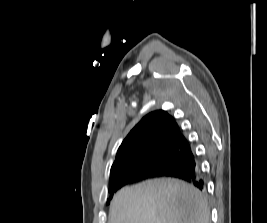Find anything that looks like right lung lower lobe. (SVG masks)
Masks as SVG:
<instances>
[{"mask_svg":"<svg viewBox=\"0 0 267 223\" xmlns=\"http://www.w3.org/2000/svg\"><path fill=\"white\" fill-rule=\"evenodd\" d=\"M153 177L178 178L195 185L200 190L204 188V182L201 178V171L197 157L189 146V149L185 155L179 159L168 171L157 173L150 170H135L122 173L110 179L109 191L111 194H113L126 184Z\"/></svg>","mask_w":267,"mask_h":223,"instance_id":"obj_1","label":"right lung lower lobe"}]
</instances>
